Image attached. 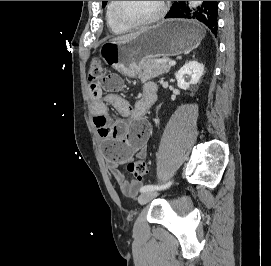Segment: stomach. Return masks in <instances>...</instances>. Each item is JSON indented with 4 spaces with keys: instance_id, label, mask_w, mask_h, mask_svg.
Segmentation results:
<instances>
[{
    "instance_id": "0dacf381",
    "label": "stomach",
    "mask_w": 271,
    "mask_h": 266,
    "mask_svg": "<svg viewBox=\"0 0 271 266\" xmlns=\"http://www.w3.org/2000/svg\"><path fill=\"white\" fill-rule=\"evenodd\" d=\"M204 36L203 27L195 21L164 20L133 38L103 44L100 57L118 72L135 76L140 73L145 59L187 53L197 47Z\"/></svg>"
}]
</instances>
